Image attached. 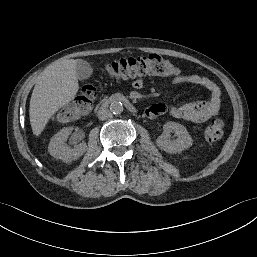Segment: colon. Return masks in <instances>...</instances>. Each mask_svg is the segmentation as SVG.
<instances>
[{"label": "colon", "mask_w": 257, "mask_h": 257, "mask_svg": "<svg viewBox=\"0 0 257 257\" xmlns=\"http://www.w3.org/2000/svg\"><path fill=\"white\" fill-rule=\"evenodd\" d=\"M106 73L122 81H138L145 76H170L176 72V67L160 55L151 54L138 57H127L114 60L107 64ZM95 88L86 84L74 100L65 105L58 114L62 121H72L86 114L95 99ZM224 132L223 121L211 119L205 127L204 134L208 141L220 139Z\"/></svg>", "instance_id": "5ec220e1"}]
</instances>
